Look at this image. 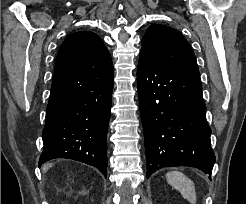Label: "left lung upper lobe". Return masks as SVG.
<instances>
[{"label": "left lung upper lobe", "instance_id": "left-lung-upper-lobe-1", "mask_svg": "<svg viewBox=\"0 0 246 204\" xmlns=\"http://www.w3.org/2000/svg\"><path fill=\"white\" fill-rule=\"evenodd\" d=\"M140 55L180 69L199 73L194 52L185 37L164 25L150 26L143 39Z\"/></svg>", "mask_w": 246, "mask_h": 204}]
</instances>
